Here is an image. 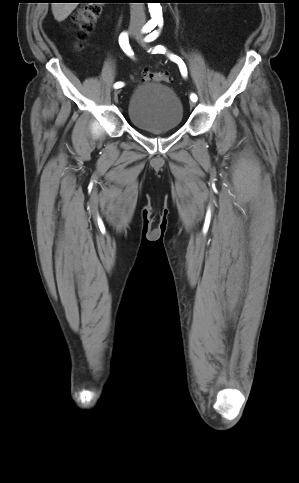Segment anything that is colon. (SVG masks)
Segmentation results:
<instances>
[{
  "label": "colon",
  "mask_w": 299,
  "mask_h": 483,
  "mask_svg": "<svg viewBox=\"0 0 299 483\" xmlns=\"http://www.w3.org/2000/svg\"><path fill=\"white\" fill-rule=\"evenodd\" d=\"M101 14V6L97 2L88 4L81 8L75 15L74 20L77 25L76 38L78 47L81 48L86 41L89 33L93 30L99 16ZM145 82H163L169 83L170 77L165 72H155L146 70L143 77Z\"/></svg>",
  "instance_id": "obj_1"
}]
</instances>
